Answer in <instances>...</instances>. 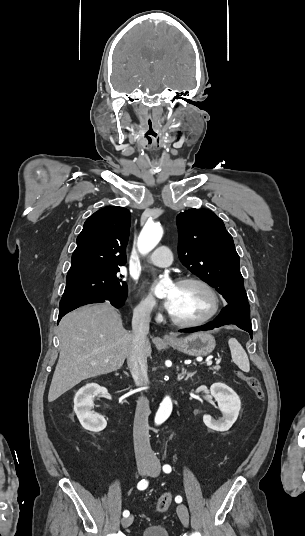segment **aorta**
Here are the masks:
<instances>
[{
  "label": "aorta",
  "mask_w": 305,
  "mask_h": 536,
  "mask_svg": "<svg viewBox=\"0 0 305 536\" xmlns=\"http://www.w3.org/2000/svg\"><path fill=\"white\" fill-rule=\"evenodd\" d=\"M163 235V229L159 224H146L139 237H138V250L141 254L145 255L153 250L159 243ZM167 281L161 280L155 288V295L162 297L165 294V285ZM172 412V400L169 396H166L160 403L159 409L155 416V423L157 425L162 424Z\"/></svg>",
  "instance_id": "aorta-1"
}]
</instances>
